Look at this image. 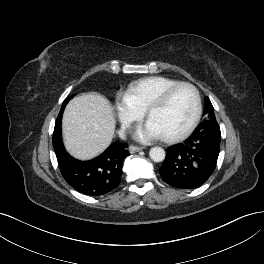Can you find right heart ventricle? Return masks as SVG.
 Returning a JSON list of instances; mask_svg holds the SVG:
<instances>
[{"label":"right heart ventricle","mask_w":264,"mask_h":264,"mask_svg":"<svg viewBox=\"0 0 264 264\" xmlns=\"http://www.w3.org/2000/svg\"><path fill=\"white\" fill-rule=\"evenodd\" d=\"M179 81L166 76H149L132 82L125 97L129 102L142 111H146L148 106L169 86Z\"/></svg>","instance_id":"1"}]
</instances>
